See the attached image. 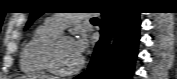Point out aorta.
<instances>
[{"instance_id":"762f6f07","label":"aorta","mask_w":177,"mask_h":79,"mask_svg":"<svg viewBox=\"0 0 177 79\" xmlns=\"http://www.w3.org/2000/svg\"><path fill=\"white\" fill-rule=\"evenodd\" d=\"M113 34V33H112ZM114 42V35H112L111 39H110V45H112Z\"/></svg>"}]
</instances>
